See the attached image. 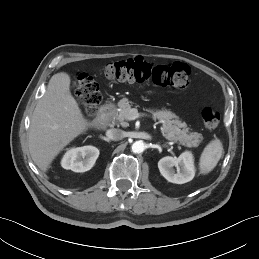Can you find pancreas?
Segmentation results:
<instances>
[{
    "label": "pancreas",
    "instance_id": "1",
    "mask_svg": "<svg viewBox=\"0 0 259 259\" xmlns=\"http://www.w3.org/2000/svg\"><path fill=\"white\" fill-rule=\"evenodd\" d=\"M131 102L127 98H123L118 102L120 111H114L113 117L120 122L121 126L126 127L128 123ZM152 115L162 123V135L169 141L179 143L187 147H197L203 140V136L197 132H190L187 124L182 122L180 118L170 110L162 108L161 110L148 109Z\"/></svg>",
    "mask_w": 259,
    "mask_h": 259
}]
</instances>
